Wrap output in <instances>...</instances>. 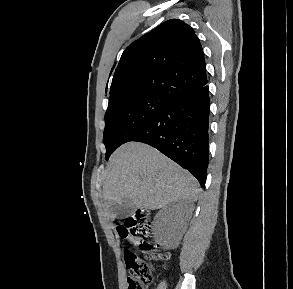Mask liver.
Listing matches in <instances>:
<instances>
[{
  "mask_svg": "<svg viewBox=\"0 0 293 289\" xmlns=\"http://www.w3.org/2000/svg\"><path fill=\"white\" fill-rule=\"evenodd\" d=\"M197 180L155 148L138 142L119 147L103 176L102 197L108 208L128 197L135 208L156 210L177 200L196 201Z\"/></svg>",
  "mask_w": 293,
  "mask_h": 289,
  "instance_id": "1",
  "label": "liver"
}]
</instances>
